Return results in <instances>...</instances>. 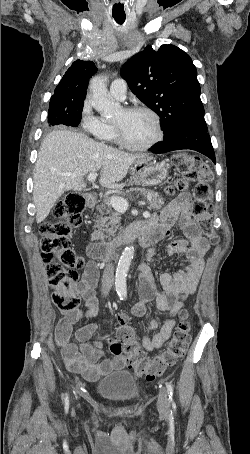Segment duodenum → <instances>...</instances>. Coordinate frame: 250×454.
Returning a JSON list of instances; mask_svg holds the SVG:
<instances>
[{"instance_id": "obj_1", "label": "duodenum", "mask_w": 250, "mask_h": 454, "mask_svg": "<svg viewBox=\"0 0 250 454\" xmlns=\"http://www.w3.org/2000/svg\"><path fill=\"white\" fill-rule=\"evenodd\" d=\"M86 206L94 208L96 198L93 195H86ZM141 235L140 226L133 225L123 230L117 237L106 243H99L90 247V256L98 261L106 262L114 257L115 252L133 237Z\"/></svg>"}]
</instances>
